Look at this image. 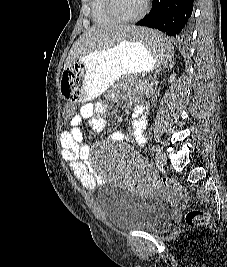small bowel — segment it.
Segmentation results:
<instances>
[{"mask_svg":"<svg viewBox=\"0 0 227 267\" xmlns=\"http://www.w3.org/2000/svg\"><path fill=\"white\" fill-rule=\"evenodd\" d=\"M105 111L104 103L83 104L74 119H69V126L60 134L62 156L68 162L77 179L89 190H95L100 183L96 171L89 163L90 148L81 132L80 126L88 120L94 131H102L105 128V120L100 116ZM131 140L142 146L145 141L146 121L142 109H135L131 118ZM116 139H122L121 133L114 135Z\"/></svg>","mask_w":227,"mask_h":267,"instance_id":"1","label":"small bowel"}]
</instances>
